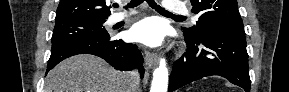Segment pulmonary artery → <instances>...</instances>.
<instances>
[{"instance_id":"e3ab8cb5","label":"pulmonary artery","mask_w":289,"mask_h":92,"mask_svg":"<svg viewBox=\"0 0 289 92\" xmlns=\"http://www.w3.org/2000/svg\"><path fill=\"white\" fill-rule=\"evenodd\" d=\"M163 6H164L165 10H167L170 13L186 14L188 12L184 5H182L180 3L173 2V1H164ZM135 13H136L135 11H131L129 13H116V14L111 16L110 22L111 23L119 22V21L123 20L124 18L129 17ZM193 19L195 20L196 17H193Z\"/></svg>"}]
</instances>
